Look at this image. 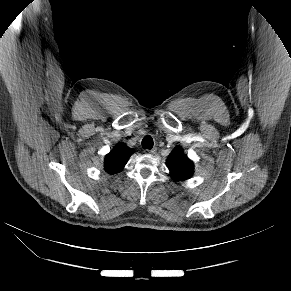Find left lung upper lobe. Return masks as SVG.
Here are the masks:
<instances>
[{
    "mask_svg": "<svg viewBox=\"0 0 291 291\" xmlns=\"http://www.w3.org/2000/svg\"><path fill=\"white\" fill-rule=\"evenodd\" d=\"M170 176L175 181H183L189 179L194 173L193 162L183 154L180 146L173 149L166 160Z\"/></svg>",
    "mask_w": 291,
    "mask_h": 291,
    "instance_id": "5c2ea615",
    "label": "left lung upper lobe"
}]
</instances>
